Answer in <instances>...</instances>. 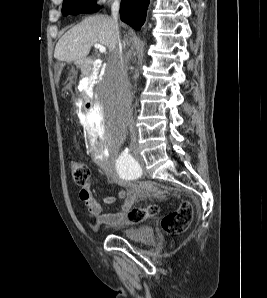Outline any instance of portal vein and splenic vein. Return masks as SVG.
Segmentation results:
<instances>
[{
    "mask_svg": "<svg viewBox=\"0 0 267 298\" xmlns=\"http://www.w3.org/2000/svg\"><path fill=\"white\" fill-rule=\"evenodd\" d=\"M94 47H95L96 49H99V51H100L101 53H105V52H106V47L103 46V45H101V44H99V43L94 44Z\"/></svg>",
    "mask_w": 267,
    "mask_h": 298,
    "instance_id": "18ae733b",
    "label": "portal vein and splenic vein"
}]
</instances>
